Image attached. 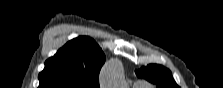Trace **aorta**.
Segmentation results:
<instances>
[{"instance_id":"1","label":"aorta","mask_w":223,"mask_h":88,"mask_svg":"<svg viewBox=\"0 0 223 88\" xmlns=\"http://www.w3.org/2000/svg\"><path fill=\"white\" fill-rule=\"evenodd\" d=\"M102 88H124L122 64L117 59H111L103 67L100 74Z\"/></svg>"}]
</instances>
